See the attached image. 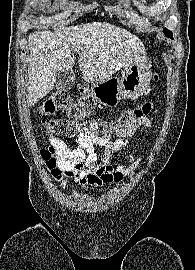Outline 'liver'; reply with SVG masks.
Returning <instances> with one entry per match:
<instances>
[{
    "label": "liver",
    "instance_id": "6515ba94",
    "mask_svg": "<svg viewBox=\"0 0 195 270\" xmlns=\"http://www.w3.org/2000/svg\"><path fill=\"white\" fill-rule=\"evenodd\" d=\"M28 103L34 105L49 94L57 75L71 71L75 53L86 83L112 77L122 67L145 55L141 40L129 31L105 22L63 27L55 32L29 35Z\"/></svg>",
    "mask_w": 195,
    "mask_h": 270
}]
</instances>
